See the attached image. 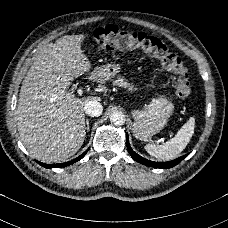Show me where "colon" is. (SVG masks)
Segmentation results:
<instances>
[{"mask_svg":"<svg viewBox=\"0 0 228 228\" xmlns=\"http://www.w3.org/2000/svg\"><path fill=\"white\" fill-rule=\"evenodd\" d=\"M94 38L100 47L107 49L141 47L146 53L158 59L171 74L173 91L177 97L185 98L190 95L187 69L182 60L159 38L114 25L98 27Z\"/></svg>","mask_w":228,"mask_h":228,"instance_id":"obj_1","label":"colon"}]
</instances>
